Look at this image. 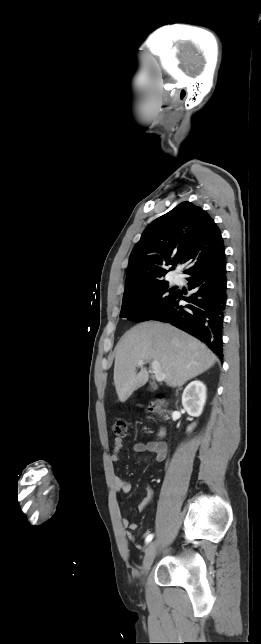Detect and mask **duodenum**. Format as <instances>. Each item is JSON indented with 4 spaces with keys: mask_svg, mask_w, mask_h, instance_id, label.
Masks as SVG:
<instances>
[{
    "mask_svg": "<svg viewBox=\"0 0 261 644\" xmlns=\"http://www.w3.org/2000/svg\"><path fill=\"white\" fill-rule=\"evenodd\" d=\"M164 435H165V430H164L163 428H161V429L159 430V432H158V437H159V438H162Z\"/></svg>",
    "mask_w": 261,
    "mask_h": 644,
    "instance_id": "duodenum-1",
    "label": "duodenum"
}]
</instances>
